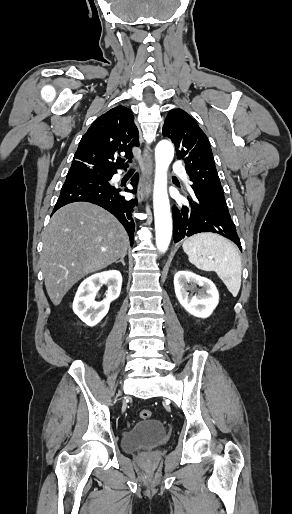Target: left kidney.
Masks as SVG:
<instances>
[{"instance_id": "5707ae66", "label": "left kidney", "mask_w": 292, "mask_h": 514, "mask_svg": "<svg viewBox=\"0 0 292 514\" xmlns=\"http://www.w3.org/2000/svg\"><path fill=\"white\" fill-rule=\"evenodd\" d=\"M188 284L203 286V290H200L198 296H190L189 290L193 292L194 286ZM174 288L181 306L196 318H208L218 306V290L208 278H201L193 272H177L174 276Z\"/></svg>"}]
</instances>
